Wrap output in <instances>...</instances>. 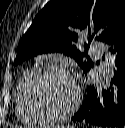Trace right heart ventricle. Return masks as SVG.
<instances>
[{
  "instance_id": "right-heart-ventricle-1",
  "label": "right heart ventricle",
  "mask_w": 125,
  "mask_h": 128,
  "mask_svg": "<svg viewBox=\"0 0 125 128\" xmlns=\"http://www.w3.org/2000/svg\"><path fill=\"white\" fill-rule=\"evenodd\" d=\"M32 72V70H26L22 76L20 77L17 86H16V115L20 121H22L25 124L29 125H36L41 124L44 121L38 119L29 109L25 94H24V87L25 82L29 76V74Z\"/></svg>"
}]
</instances>
